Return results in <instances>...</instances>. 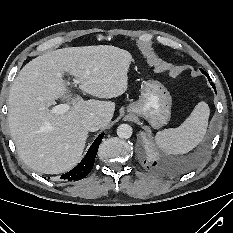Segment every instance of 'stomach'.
I'll return each instance as SVG.
<instances>
[{"mask_svg": "<svg viewBox=\"0 0 233 233\" xmlns=\"http://www.w3.org/2000/svg\"><path fill=\"white\" fill-rule=\"evenodd\" d=\"M172 98L166 87L154 78L143 82L138 101L129 104L127 112L145 118L152 127L160 128L170 118Z\"/></svg>", "mask_w": 233, "mask_h": 233, "instance_id": "1", "label": "stomach"}]
</instances>
